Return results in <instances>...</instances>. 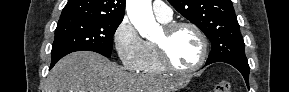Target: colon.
Returning <instances> with one entry per match:
<instances>
[{"label":"colon","mask_w":289,"mask_h":92,"mask_svg":"<svg viewBox=\"0 0 289 92\" xmlns=\"http://www.w3.org/2000/svg\"><path fill=\"white\" fill-rule=\"evenodd\" d=\"M230 91L231 86L225 80L219 81L214 85V92H230Z\"/></svg>","instance_id":"1"}]
</instances>
